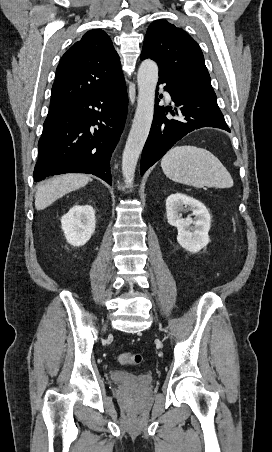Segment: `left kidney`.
<instances>
[{"instance_id":"5707ae66","label":"left kidney","mask_w":272,"mask_h":452,"mask_svg":"<svg viewBox=\"0 0 272 452\" xmlns=\"http://www.w3.org/2000/svg\"><path fill=\"white\" fill-rule=\"evenodd\" d=\"M186 209L192 214L182 218L180 212ZM166 213L168 223L178 230V243L187 251L197 253L210 242L211 216L200 201L183 193L171 194L166 199Z\"/></svg>"}]
</instances>
